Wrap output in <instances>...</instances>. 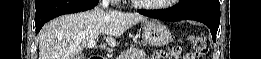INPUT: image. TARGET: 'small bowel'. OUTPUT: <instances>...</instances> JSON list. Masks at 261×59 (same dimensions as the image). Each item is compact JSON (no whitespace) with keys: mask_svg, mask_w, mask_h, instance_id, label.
I'll return each mask as SVG.
<instances>
[{"mask_svg":"<svg viewBox=\"0 0 261 59\" xmlns=\"http://www.w3.org/2000/svg\"><path fill=\"white\" fill-rule=\"evenodd\" d=\"M192 56L194 57L193 54H186L184 56V58L185 59H194V58H191ZM165 58H171V57H169L168 54L162 50L158 51L154 56V59H165Z\"/></svg>","mask_w":261,"mask_h":59,"instance_id":"c3829d8e","label":"small bowel"}]
</instances>
